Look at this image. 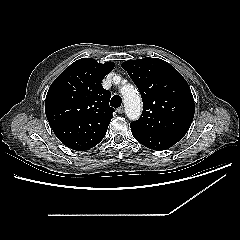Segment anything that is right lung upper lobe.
Listing matches in <instances>:
<instances>
[{
	"mask_svg": "<svg viewBox=\"0 0 240 240\" xmlns=\"http://www.w3.org/2000/svg\"><path fill=\"white\" fill-rule=\"evenodd\" d=\"M113 62L83 58L72 63L50 86L45 113L57 138L68 148L85 151L105 136L113 117L111 93L102 87Z\"/></svg>",
	"mask_w": 240,
	"mask_h": 240,
	"instance_id": "obj_1",
	"label": "right lung upper lobe"
}]
</instances>
